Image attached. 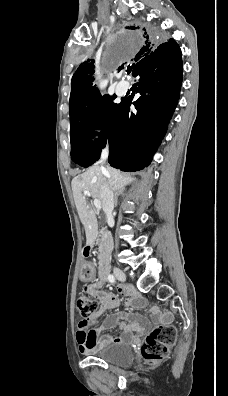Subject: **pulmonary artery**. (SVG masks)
<instances>
[{"mask_svg": "<svg viewBox=\"0 0 228 396\" xmlns=\"http://www.w3.org/2000/svg\"><path fill=\"white\" fill-rule=\"evenodd\" d=\"M125 90H126V86H123V87H121L120 89L117 90V93H118L119 95H123L124 92H125Z\"/></svg>", "mask_w": 228, "mask_h": 396, "instance_id": "obj_1", "label": "pulmonary artery"}]
</instances>
